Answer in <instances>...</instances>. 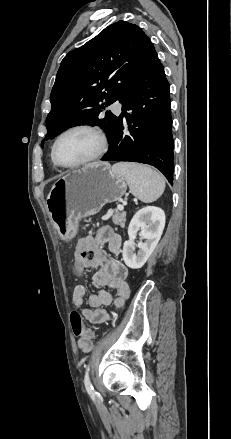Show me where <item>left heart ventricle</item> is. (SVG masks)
Wrapping results in <instances>:
<instances>
[{"mask_svg":"<svg viewBox=\"0 0 231 439\" xmlns=\"http://www.w3.org/2000/svg\"><path fill=\"white\" fill-rule=\"evenodd\" d=\"M99 148L98 138L91 132L78 130L65 135L58 143L61 162L73 164L92 156Z\"/></svg>","mask_w":231,"mask_h":439,"instance_id":"left-heart-ventricle-1","label":"left heart ventricle"}]
</instances>
